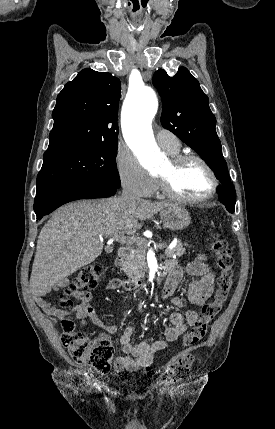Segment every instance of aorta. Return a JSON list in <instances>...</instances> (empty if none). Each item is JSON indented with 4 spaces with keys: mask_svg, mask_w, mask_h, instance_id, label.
<instances>
[{
    "mask_svg": "<svg viewBox=\"0 0 275 429\" xmlns=\"http://www.w3.org/2000/svg\"><path fill=\"white\" fill-rule=\"evenodd\" d=\"M158 110L155 92L147 86L130 90L122 108V131L131 150L150 172L160 169L162 156L155 142L152 121Z\"/></svg>",
    "mask_w": 275,
    "mask_h": 429,
    "instance_id": "1",
    "label": "aorta"
}]
</instances>
